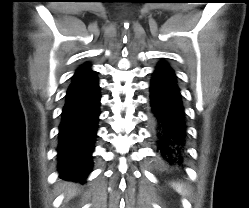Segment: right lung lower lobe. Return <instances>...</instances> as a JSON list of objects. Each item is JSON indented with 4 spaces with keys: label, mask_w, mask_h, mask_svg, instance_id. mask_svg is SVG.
Listing matches in <instances>:
<instances>
[{
    "label": "right lung lower lobe",
    "mask_w": 249,
    "mask_h": 208,
    "mask_svg": "<svg viewBox=\"0 0 249 208\" xmlns=\"http://www.w3.org/2000/svg\"><path fill=\"white\" fill-rule=\"evenodd\" d=\"M100 97L95 72L74 79L67 90L57 149L59 176L63 179L83 183L90 172Z\"/></svg>",
    "instance_id": "1"
}]
</instances>
